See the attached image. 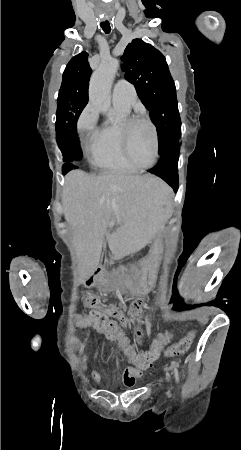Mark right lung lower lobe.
Wrapping results in <instances>:
<instances>
[{"mask_svg":"<svg viewBox=\"0 0 241 450\" xmlns=\"http://www.w3.org/2000/svg\"><path fill=\"white\" fill-rule=\"evenodd\" d=\"M78 117L75 118L72 123L69 126L68 133L66 134V141H67V156L74 157L75 155L82 154V151L79 146V142L77 140V124ZM73 168H77L74 164H71Z\"/></svg>","mask_w":241,"mask_h":450,"instance_id":"obj_1","label":"right lung lower lobe"}]
</instances>
